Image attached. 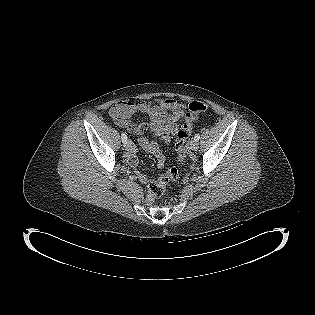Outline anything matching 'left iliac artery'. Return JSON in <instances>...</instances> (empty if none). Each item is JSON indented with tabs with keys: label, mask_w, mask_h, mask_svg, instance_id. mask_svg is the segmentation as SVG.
Masks as SVG:
<instances>
[{
	"label": "left iliac artery",
	"mask_w": 315,
	"mask_h": 315,
	"mask_svg": "<svg viewBox=\"0 0 315 315\" xmlns=\"http://www.w3.org/2000/svg\"><path fill=\"white\" fill-rule=\"evenodd\" d=\"M199 139H200V135H199V134H196V135L194 136V140L199 141Z\"/></svg>",
	"instance_id": "obj_1"
}]
</instances>
